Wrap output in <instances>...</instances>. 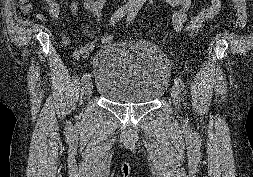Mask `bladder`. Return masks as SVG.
I'll list each match as a JSON object with an SVG mask.
<instances>
[{"instance_id":"31cf9c89","label":"bladder","mask_w":253,"mask_h":177,"mask_svg":"<svg viewBox=\"0 0 253 177\" xmlns=\"http://www.w3.org/2000/svg\"><path fill=\"white\" fill-rule=\"evenodd\" d=\"M96 92L114 103H152L164 93L169 66L160 48L148 43H110L96 57Z\"/></svg>"}]
</instances>
